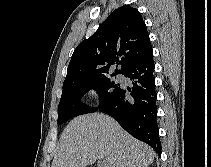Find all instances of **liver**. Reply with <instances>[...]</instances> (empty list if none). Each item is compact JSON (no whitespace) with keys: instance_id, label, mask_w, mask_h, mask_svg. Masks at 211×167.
I'll return each instance as SVG.
<instances>
[{"instance_id":"6515ba94","label":"liver","mask_w":211,"mask_h":167,"mask_svg":"<svg viewBox=\"0 0 211 167\" xmlns=\"http://www.w3.org/2000/svg\"><path fill=\"white\" fill-rule=\"evenodd\" d=\"M155 151L99 113L74 118L64 129L51 167H86L104 159L107 167H147Z\"/></svg>"}]
</instances>
